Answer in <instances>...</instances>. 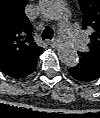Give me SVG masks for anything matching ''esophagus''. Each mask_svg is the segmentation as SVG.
<instances>
[{
    "label": "esophagus",
    "mask_w": 100,
    "mask_h": 118,
    "mask_svg": "<svg viewBox=\"0 0 100 118\" xmlns=\"http://www.w3.org/2000/svg\"><path fill=\"white\" fill-rule=\"evenodd\" d=\"M60 43V38L58 36L54 37L51 41H48V44L51 47H57Z\"/></svg>",
    "instance_id": "1"
}]
</instances>
